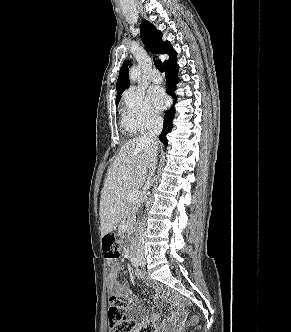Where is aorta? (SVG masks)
Listing matches in <instances>:
<instances>
[{
  "instance_id": "aorta-1",
  "label": "aorta",
  "mask_w": 291,
  "mask_h": 332,
  "mask_svg": "<svg viewBox=\"0 0 291 332\" xmlns=\"http://www.w3.org/2000/svg\"><path fill=\"white\" fill-rule=\"evenodd\" d=\"M130 81L136 82L140 79L141 71L137 67H132L129 71Z\"/></svg>"
}]
</instances>
